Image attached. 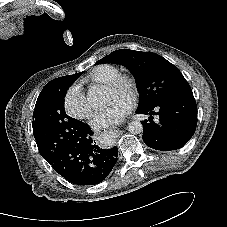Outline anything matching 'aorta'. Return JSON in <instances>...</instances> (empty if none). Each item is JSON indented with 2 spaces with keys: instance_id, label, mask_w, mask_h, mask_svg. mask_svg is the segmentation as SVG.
<instances>
[{
  "instance_id": "obj_1",
  "label": "aorta",
  "mask_w": 227,
  "mask_h": 227,
  "mask_svg": "<svg viewBox=\"0 0 227 227\" xmlns=\"http://www.w3.org/2000/svg\"><path fill=\"white\" fill-rule=\"evenodd\" d=\"M87 100L93 106L102 104L104 101V96L100 88L97 86H92L91 88H89L87 92ZM127 130L129 131V133L137 135L142 133L143 125L140 121L135 120L128 124Z\"/></svg>"
}]
</instances>
